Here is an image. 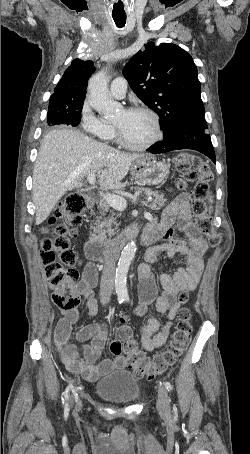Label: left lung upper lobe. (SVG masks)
Listing matches in <instances>:
<instances>
[{
	"instance_id": "1",
	"label": "left lung upper lobe",
	"mask_w": 250,
	"mask_h": 454,
	"mask_svg": "<svg viewBox=\"0 0 250 454\" xmlns=\"http://www.w3.org/2000/svg\"><path fill=\"white\" fill-rule=\"evenodd\" d=\"M123 72L137 96L160 117L164 137L186 121L204 118L197 67L179 46L149 42Z\"/></svg>"
}]
</instances>
